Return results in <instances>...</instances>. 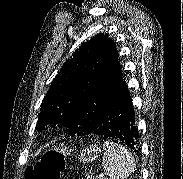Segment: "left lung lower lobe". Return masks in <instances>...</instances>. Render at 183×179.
I'll return each instance as SVG.
<instances>
[{
	"mask_svg": "<svg viewBox=\"0 0 183 179\" xmlns=\"http://www.w3.org/2000/svg\"><path fill=\"white\" fill-rule=\"evenodd\" d=\"M91 134L120 141L136 151L139 134L135 126V113L130 93L123 78L113 106Z\"/></svg>",
	"mask_w": 183,
	"mask_h": 179,
	"instance_id": "1",
	"label": "left lung lower lobe"
}]
</instances>
